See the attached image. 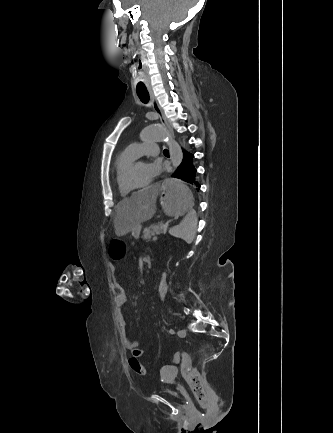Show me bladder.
Segmentation results:
<instances>
[{
    "label": "bladder",
    "mask_w": 333,
    "mask_h": 433,
    "mask_svg": "<svg viewBox=\"0 0 333 433\" xmlns=\"http://www.w3.org/2000/svg\"><path fill=\"white\" fill-rule=\"evenodd\" d=\"M158 392L166 397L176 398L178 397V393L169 388H160Z\"/></svg>",
    "instance_id": "31cf9c89"
}]
</instances>
